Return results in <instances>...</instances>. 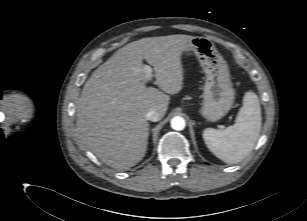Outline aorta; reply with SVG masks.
I'll list each match as a JSON object with an SVG mask.
<instances>
[{
  "label": "aorta",
  "mask_w": 307,
  "mask_h": 221,
  "mask_svg": "<svg viewBox=\"0 0 307 221\" xmlns=\"http://www.w3.org/2000/svg\"><path fill=\"white\" fill-rule=\"evenodd\" d=\"M185 125H186L185 120L181 116H175L171 120V127L174 130L177 131L183 130L185 128Z\"/></svg>",
  "instance_id": "762f6f07"
}]
</instances>
